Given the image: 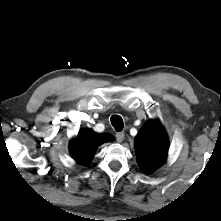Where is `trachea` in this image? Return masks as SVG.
I'll return each mask as SVG.
<instances>
[{
    "label": "trachea",
    "mask_w": 221,
    "mask_h": 221,
    "mask_svg": "<svg viewBox=\"0 0 221 221\" xmlns=\"http://www.w3.org/2000/svg\"><path fill=\"white\" fill-rule=\"evenodd\" d=\"M111 124L113 125V127L115 128V130L117 132H120L123 130L124 128V123L123 120L120 116L118 115H113L111 116Z\"/></svg>",
    "instance_id": "1"
}]
</instances>
